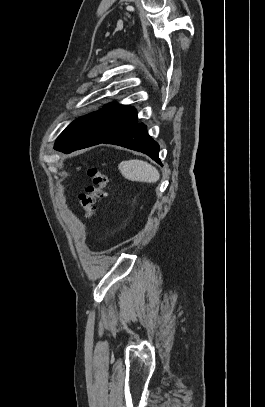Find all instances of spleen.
Instances as JSON below:
<instances>
[{"label": "spleen", "mask_w": 265, "mask_h": 407, "mask_svg": "<svg viewBox=\"0 0 265 407\" xmlns=\"http://www.w3.org/2000/svg\"><path fill=\"white\" fill-rule=\"evenodd\" d=\"M121 174L128 180L155 183L160 178L159 171L143 160L132 159L119 164Z\"/></svg>", "instance_id": "3e777b00"}]
</instances>
